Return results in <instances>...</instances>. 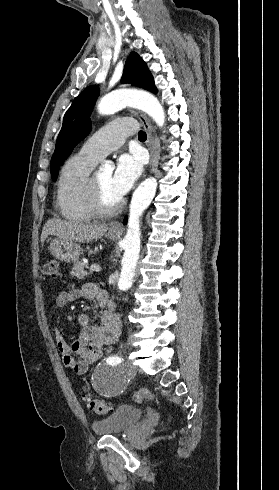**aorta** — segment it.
I'll use <instances>...</instances> for the list:
<instances>
[{"mask_svg": "<svg viewBox=\"0 0 279 490\" xmlns=\"http://www.w3.org/2000/svg\"><path fill=\"white\" fill-rule=\"evenodd\" d=\"M126 106L135 107L146 112L159 127L165 123V113L158 99L152 94L141 91L119 90L101 98L98 112L102 115L113 114ZM109 163L104 165V171H112ZM157 189L154 177L145 179L133 193L129 208V219L126 236L123 240L124 255L121 261V273L118 288L126 291L133 284L136 264L139 259L141 231L139 219L153 200Z\"/></svg>", "mask_w": 279, "mask_h": 490, "instance_id": "aorta-1", "label": "aorta"}]
</instances>
